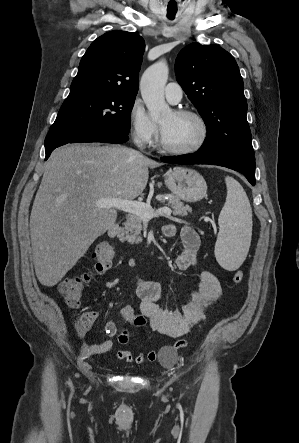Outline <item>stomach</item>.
<instances>
[{
	"label": "stomach",
	"mask_w": 299,
	"mask_h": 443,
	"mask_svg": "<svg viewBox=\"0 0 299 443\" xmlns=\"http://www.w3.org/2000/svg\"><path fill=\"white\" fill-rule=\"evenodd\" d=\"M165 184L177 198L186 202H197L207 193L204 178L190 168H175L167 174Z\"/></svg>",
	"instance_id": "1"
}]
</instances>
